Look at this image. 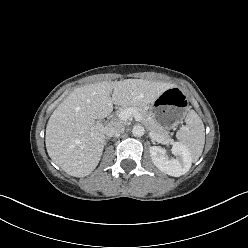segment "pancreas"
I'll use <instances>...</instances> for the list:
<instances>
[{
	"label": "pancreas",
	"mask_w": 248,
	"mask_h": 248,
	"mask_svg": "<svg viewBox=\"0 0 248 248\" xmlns=\"http://www.w3.org/2000/svg\"><path fill=\"white\" fill-rule=\"evenodd\" d=\"M131 107L138 110V112L141 116L142 122L145 123L153 133H155L156 135H158L161 138H168L169 137V131H167L165 128L160 126L154 119H152L146 108L135 107V106H131ZM126 108H129V107H125V109Z\"/></svg>",
	"instance_id": "obj_1"
}]
</instances>
